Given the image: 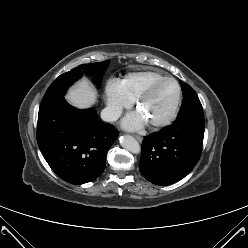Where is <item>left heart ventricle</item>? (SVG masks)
Returning <instances> with one entry per match:
<instances>
[{"instance_id":"left-heart-ventricle-1","label":"left heart ventricle","mask_w":248,"mask_h":248,"mask_svg":"<svg viewBox=\"0 0 248 248\" xmlns=\"http://www.w3.org/2000/svg\"><path fill=\"white\" fill-rule=\"evenodd\" d=\"M177 99V87L172 82H164L154 89L151 95L139 107L147 122L166 117L173 109Z\"/></svg>"}]
</instances>
